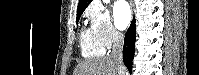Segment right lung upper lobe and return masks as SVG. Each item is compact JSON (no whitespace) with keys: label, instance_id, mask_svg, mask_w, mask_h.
I'll return each instance as SVG.
<instances>
[{"label":"right lung upper lobe","instance_id":"obj_1","mask_svg":"<svg viewBox=\"0 0 199 75\" xmlns=\"http://www.w3.org/2000/svg\"><path fill=\"white\" fill-rule=\"evenodd\" d=\"M92 0H79L78 8H77V15H80L84 12L86 7L90 4Z\"/></svg>","mask_w":199,"mask_h":75}]
</instances>
